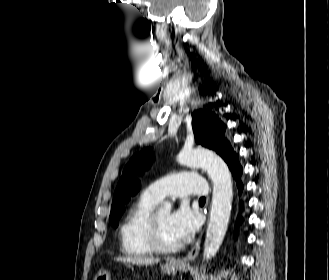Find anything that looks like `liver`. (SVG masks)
Here are the masks:
<instances>
[{"label":"liver","mask_w":329,"mask_h":280,"mask_svg":"<svg viewBox=\"0 0 329 280\" xmlns=\"http://www.w3.org/2000/svg\"><path fill=\"white\" fill-rule=\"evenodd\" d=\"M114 260L124 263H131L134 265H146V266L159 263V259H155L152 257L125 256V257H116L114 258Z\"/></svg>","instance_id":"6515ba94"}]
</instances>
